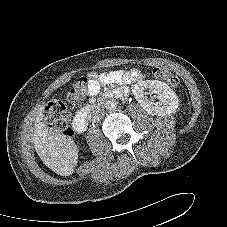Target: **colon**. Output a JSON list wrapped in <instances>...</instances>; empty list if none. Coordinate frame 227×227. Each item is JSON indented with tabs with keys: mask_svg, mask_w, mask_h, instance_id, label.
Instances as JSON below:
<instances>
[{
	"mask_svg": "<svg viewBox=\"0 0 227 227\" xmlns=\"http://www.w3.org/2000/svg\"><path fill=\"white\" fill-rule=\"evenodd\" d=\"M152 72L156 78L164 80L170 87L178 88L180 86L178 77L169 72L166 68L157 66ZM88 93L89 79L85 76L80 77L68 91V99L72 103H79ZM44 119L54 131L63 135L71 133L69 128V115L62 101L57 99L51 100L44 110Z\"/></svg>",
	"mask_w": 227,
	"mask_h": 227,
	"instance_id": "1",
	"label": "colon"
}]
</instances>
